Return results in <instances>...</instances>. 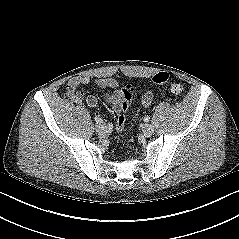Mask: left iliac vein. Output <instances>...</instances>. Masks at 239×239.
Listing matches in <instances>:
<instances>
[{
  "label": "left iliac vein",
  "instance_id": "4c4485c4",
  "mask_svg": "<svg viewBox=\"0 0 239 239\" xmlns=\"http://www.w3.org/2000/svg\"><path fill=\"white\" fill-rule=\"evenodd\" d=\"M153 133H154L153 127H152L151 125H149V124H146V125L144 126V128H143V134H144V136L150 137V136L153 135Z\"/></svg>",
  "mask_w": 239,
  "mask_h": 239
}]
</instances>
